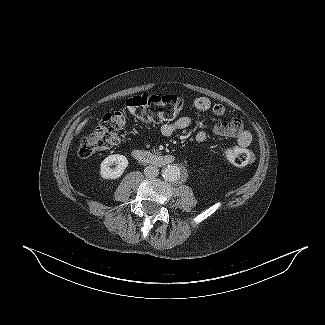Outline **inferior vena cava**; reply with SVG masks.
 <instances>
[{"mask_svg": "<svg viewBox=\"0 0 325 325\" xmlns=\"http://www.w3.org/2000/svg\"><path fill=\"white\" fill-rule=\"evenodd\" d=\"M159 174V169L156 166L149 165L144 169V175L148 178H154Z\"/></svg>", "mask_w": 325, "mask_h": 325, "instance_id": "inferior-vena-cava-1", "label": "inferior vena cava"}]
</instances>
